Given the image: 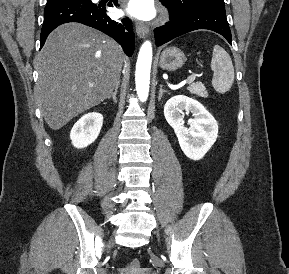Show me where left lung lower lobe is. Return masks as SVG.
<instances>
[{
    "instance_id": "1",
    "label": "left lung lower lobe",
    "mask_w": 289,
    "mask_h": 274,
    "mask_svg": "<svg viewBox=\"0 0 289 274\" xmlns=\"http://www.w3.org/2000/svg\"><path fill=\"white\" fill-rule=\"evenodd\" d=\"M168 10L170 13V21L167 22L166 25L154 30L157 46H161L178 36L197 29L215 31L225 37L231 44L232 37L226 19L225 8L199 6L182 15L173 12L169 8Z\"/></svg>"
}]
</instances>
